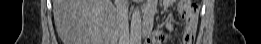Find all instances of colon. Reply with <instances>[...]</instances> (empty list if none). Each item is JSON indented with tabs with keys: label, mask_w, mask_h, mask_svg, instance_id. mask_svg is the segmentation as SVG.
Here are the masks:
<instances>
[{
	"label": "colon",
	"mask_w": 261,
	"mask_h": 44,
	"mask_svg": "<svg viewBox=\"0 0 261 44\" xmlns=\"http://www.w3.org/2000/svg\"><path fill=\"white\" fill-rule=\"evenodd\" d=\"M180 6H191V1H180L179 2ZM193 5V4H192ZM193 7H195L197 9L196 6L193 5Z\"/></svg>",
	"instance_id": "colon-1"
}]
</instances>
